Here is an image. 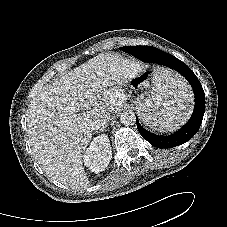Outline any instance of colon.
Masks as SVG:
<instances>
[{
	"instance_id": "1",
	"label": "colon",
	"mask_w": 227,
	"mask_h": 227,
	"mask_svg": "<svg viewBox=\"0 0 227 227\" xmlns=\"http://www.w3.org/2000/svg\"><path fill=\"white\" fill-rule=\"evenodd\" d=\"M145 80H146V76L142 75V76L135 78L134 82L139 84V83H143Z\"/></svg>"
}]
</instances>
